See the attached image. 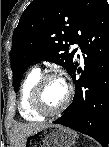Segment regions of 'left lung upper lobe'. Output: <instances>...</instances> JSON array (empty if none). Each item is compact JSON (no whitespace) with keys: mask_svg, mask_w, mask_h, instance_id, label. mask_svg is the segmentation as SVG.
<instances>
[{"mask_svg":"<svg viewBox=\"0 0 109 147\" xmlns=\"http://www.w3.org/2000/svg\"><path fill=\"white\" fill-rule=\"evenodd\" d=\"M106 0H34L23 12L14 30L10 61L15 91L28 66L38 60H48L66 68H75L76 50L69 45L79 43L86 29ZM102 85V75L91 71L87 87L96 92Z\"/></svg>","mask_w":109,"mask_h":147,"instance_id":"left-lung-upper-lobe-1","label":"left lung upper lobe"}]
</instances>
